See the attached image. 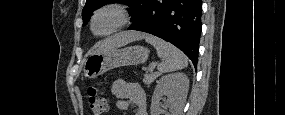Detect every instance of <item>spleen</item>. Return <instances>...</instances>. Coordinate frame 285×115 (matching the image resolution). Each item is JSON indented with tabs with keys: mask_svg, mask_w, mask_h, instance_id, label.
<instances>
[{
	"mask_svg": "<svg viewBox=\"0 0 285 115\" xmlns=\"http://www.w3.org/2000/svg\"><path fill=\"white\" fill-rule=\"evenodd\" d=\"M146 42L151 44L156 49L157 55L163 59L157 67L159 72H173L188 66L185 54L169 42L151 35L146 37Z\"/></svg>",
	"mask_w": 285,
	"mask_h": 115,
	"instance_id": "3e777b00",
	"label": "spleen"
}]
</instances>
